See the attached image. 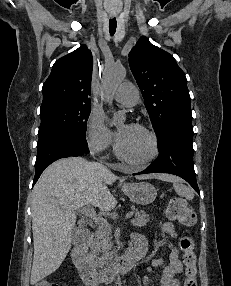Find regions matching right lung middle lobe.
<instances>
[{"instance_id": "obj_1", "label": "right lung middle lobe", "mask_w": 231, "mask_h": 286, "mask_svg": "<svg viewBox=\"0 0 231 286\" xmlns=\"http://www.w3.org/2000/svg\"><path fill=\"white\" fill-rule=\"evenodd\" d=\"M90 110V104L70 102L41 106L38 144L63 135L86 139V125Z\"/></svg>"}]
</instances>
